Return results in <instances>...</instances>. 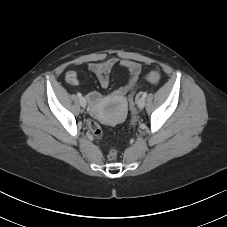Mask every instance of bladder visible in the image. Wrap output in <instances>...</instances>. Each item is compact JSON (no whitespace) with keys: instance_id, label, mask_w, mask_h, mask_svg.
I'll list each match as a JSON object with an SVG mask.
<instances>
[{"instance_id":"obj_1","label":"bladder","mask_w":227,"mask_h":227,"mask_svg":"<svg viewBox=\"0 0 227 227\" xmlns=\"http://www.w3.org/2000/svg\"><path fill=\"white\" fill-rule=\"evenodd\" d=\"M106 120H107V122L110 123V124H113V123H115V122L117 121L116 119H114V118H112V117H107Z\"/></svg>"}]
</instances>
